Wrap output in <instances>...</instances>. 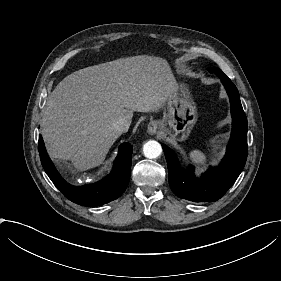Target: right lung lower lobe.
<instances>
[{
  "mask_svg": "<svg viewBox=\"0 0 281 281\" xmlns=\"http://www.w3.org/2000/svg\"><path fill=\"white\" fill-rule=\"evenodd\" d=\"M39 153L42 166L62 194L83 206H100L117 199L126 189L131 173L132 146L123 143L118 149L112 172L95 184L75 187L67 183L56 170L39 135Z\"/></svg>",
  "mask_w": 281,
  "mask_h": 281,
  "instance_id": "98d812e1",
  "label": "right lung lower lobe"
}]
</instances>
